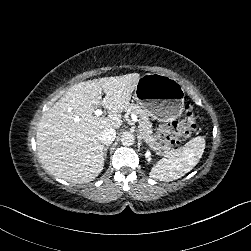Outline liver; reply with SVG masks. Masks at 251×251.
I'll return each mask as SVG.
<instances>
[{"mask_svg": "<svg viewBox=\"0 0 251 251\" xmlns=\"http://www.w3.org/2000/svg\"><path fill=\"white\" fill-rule=\"evenodd\" d=\"M139 78L138 73H130L80 82L42 115L36 145L40 161L50 174L83 184L101 173L104 148L99 135L104 129L122 125L120 113L129 106ZM100 106L109 111L108 117L95 114Z\"/></svg>", "mask_w": 251, "mask_h": 251, "instance_id": "6515ba94", "label": "liver"}]
</instances>
